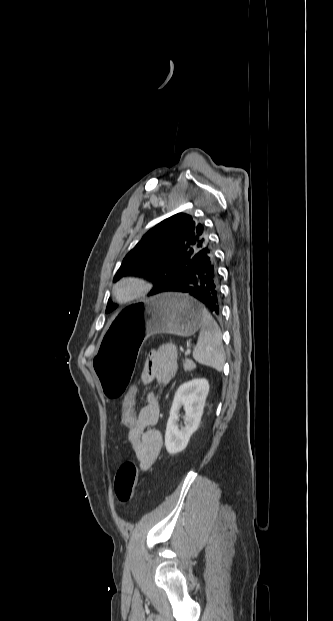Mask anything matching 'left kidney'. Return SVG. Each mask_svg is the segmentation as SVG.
Returning <instances> with one entry per match:
<instances>
[{
	"label": "left kidney",
	"instance_id": "left-kidney-1",
	"mask_svg": "<svg viewBox=\"0 0 333 621\" xmlns=\"http://www.w3.org/2000/svg\"><path fill=\"white\" fill-rule=\"evenodd\" d=\"M208 392L206 379H193L176 391L165 433V446L169 454L179 453L188 445L191 435L199 427ZM181 407L185 411L186 424L179 428L177 422Z\"/></svg>",
	"mask_w": 333,
	"mask_h": 621
}]
</instances>
